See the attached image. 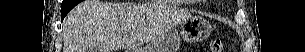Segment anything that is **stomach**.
Here are the masks:
<instances>
[{
  "label": "stomach",
  "mask_w": 305,
  "mask_h": 52,
  "mask_svg": "<svg viewBox=\"0 0 305 52\" xmlns=\"http://www.w3.org/2000/svg\"><path fill=\"white\" fill-rule=\"evenodd\" d=\"M210 33L211 26L209 22L202 17L193 16L182 21L179 30H168L143 49H129L126 52H176L181 40L199 42L206 39Z\"/></svg>",
  "instance_id": "stomach-1"
}]
</instances>
